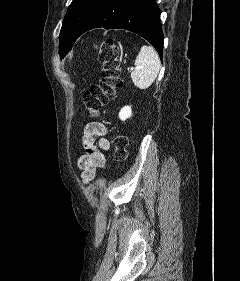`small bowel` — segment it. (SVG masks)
Returning <instances> with one entry per match:
<instances>
[{"instance_id":"small-bowel-1","label":"small bowel","mask_w":240,"mask_h":281,"mask_svg":"<svg viewBox=\"0 0 240 281\" xmlns=\"http://www.w3.org/2000/svg\"><path fill=\"white\" fill-rule=\"evenodd\" d=\"M107 133V127L101 122H89L82 130L80 142L85 154L79 157L77 166L84 185L89 184L97 176L98 170L106 165L103 151L111 148Z\"/></svg>"}]
</instances>
